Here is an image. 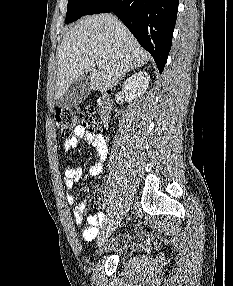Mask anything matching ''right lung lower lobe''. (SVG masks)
Here are the masks:
<instances>
[{
    "instance_id": "right-lung-lower-lobe-1",
    "label": "right lung lower lobe",
    "mask_w": 233,
    "mask_h": 286,
    "mask_svg": "<svg viewBox=\"0 0 233 286\" xmlns=\"http://www.w3.org/2000/svg\"><path fill=\"white\" fill-rule=\"evenodd\" d=\"M179 0H99L86 15L114 12L153 56L162 73L172 44Z\"/></svg>"
}]
</instances>
